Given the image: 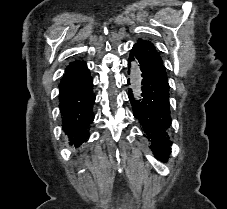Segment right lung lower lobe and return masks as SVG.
Segmentation results:
<instances>
[{"label":"right lung lower lobe","instance_id":"1","mask_svg":"<svg viewBox=\"0 0 227 209\" xmlns=\"http://www.w3.org/2000/svg\"><path fill=\"white\" fill-rule=\"evenodd\" d=\"M92 81L85 62L76 65L70 63L59 85L63 130L75 147L87 140L88 129L94 120Z\"/></svg>","mask_w":227,"mask_h":209}]
</instances>
